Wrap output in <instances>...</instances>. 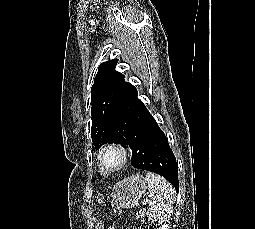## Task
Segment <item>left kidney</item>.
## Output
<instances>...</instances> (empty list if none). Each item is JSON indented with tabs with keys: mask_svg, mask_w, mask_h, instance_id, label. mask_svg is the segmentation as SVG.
Segmentation results:
<instances>
[{
	"mask_svg": "<svg viewBox=\"0 0 255 229\" xmlns=\"http://www.w3.org/2000/svg\"><path fill=\"white\" fill-rule=\"evenodd\" d=\"M157 229H169V225L168 224H164L161 227L157 228Z\"/></svg>",
	"mask_w": 255,
	"mask_h": 229,
	"instance_id": "left-kidney-1",
	"label": "left kidney"
}]
</instances>
